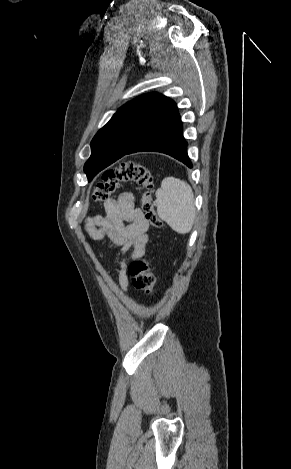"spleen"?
I'll return each instance as SVG.
<instances>
[{
    "mask_svg": "<svg viewBox=\"0 0 291 469\" xmlns=\"http://www.w3.org/2000/svg\"><path fill=\"white\" fill-rule=\"evenodd\" d=\"M155 205L159 217L175 232L186 234L192 230L196 208L192 188L184 180L166 177L156 191Z\"/></svg>",
    "mask_w": 291,
    "mask_h": 469,
    "instance_id": "spleen-1",
    "label": "spleen"
}]
</instances>
